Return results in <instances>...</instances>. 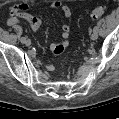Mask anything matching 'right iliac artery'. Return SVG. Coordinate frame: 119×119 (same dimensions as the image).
Masks as SVG:
<instances>
[{
    "label": "right iliac artery",
    "mask_w": 119,
    "mask_h": 119,
    "mask_svg": "<svg viewBox=\"0 0 119 119\" xmlns=\"http://www.w3.org/2000/svg\"><path fill=\"white\" fill-rule=\"evenodd\" d=\"M25 39H26L25 37H21L20 38V40H21L22 43L25 41Z\"/></svg>",
    "instance_id": "obj_1"
}]
</instances>
